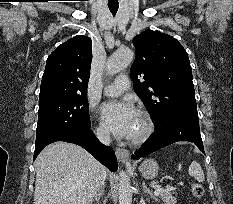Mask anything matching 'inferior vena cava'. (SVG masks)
<instances>
[{"label":"inferior vena cava","mask_w":233,"mask_h":204,"mask_svg":"<svg viewBox=\"0 0 233 204\" xmlns=\"http://www.w3.org/2000/svg\"><path fill=\"white\" fill-rule=\"evenodd\" d=\"M97 138L105 145H110L111 143L110 134L106 131L97 132Z\"/></svg>","instance_id":"inferior-vena-cava-1"}]
</instances>
